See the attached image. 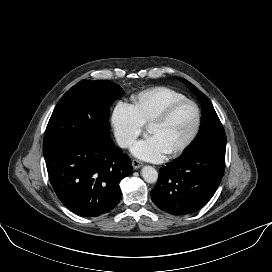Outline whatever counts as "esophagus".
<instances>
[{"label": "esophagus", "mask_w": 272, "mask_h": 272, "mask_svg": "<svg viewBox=\"0 0 272 272\" xmlns=\"http://www.w3.org/2000/svg\"><path fill=\"white\" fill-rule=\"evenodd\" d=\"M132 166H133L135 169H138V168H140V167L143 166V163L140 162V161H138V160H136V159H133V160H132Z\"/></svg>", "instance_id": "34e87169"}]
</instances>
